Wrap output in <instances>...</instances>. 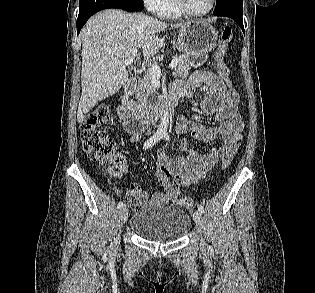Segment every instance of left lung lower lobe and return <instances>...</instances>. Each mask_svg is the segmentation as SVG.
Instances as JSON below:
<instances>
[{
	"label": "left lung lower lobe",
	"mask_w": 315,
	"mask_h": 293,
	"mask_svg": "<svg viewBox=\"0 0 315 293\" xmlns=\"http://www.w3.org/2000/svg\"><path fill=\"white\" fill-rule=\"evenodd\" d=\"M242 15L243 13H239V12H224L215 16H226V17L232 18L233 20L237 22V24L240 26V28L244 32Z\"/></svg>",
	"instance_id": "left-lung-lower-lobe-1"
}]
</instances>
